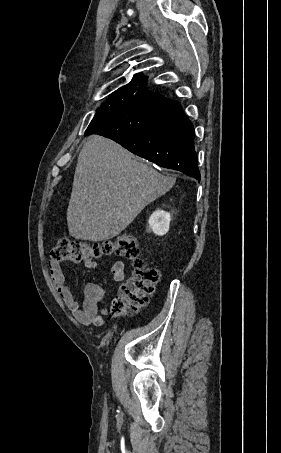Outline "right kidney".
<instances>
[{
  "mask_svg": "<svg viewBox=\"0 0 281 453\" xmlns=\"http://www.w3.org/2000/svg\"><path fill=\"white\" fill-rule=\"evenodd\" d=\"M170 220V212L154 210L153 214L149 216L148 224L155 235H166L169 231Z\"/></svg>",
  "mask_w": 281,
  "mask_h": 453,
  "instance_id": "obj_1",
  "label": "right kidney"
}]
</instances>
